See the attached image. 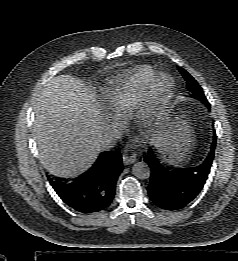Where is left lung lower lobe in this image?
Returning <instances> with one entry per match:
<instances>
[{"label":"left lung lower lobe","mask_w":238,"mask_h":261,"mask_svg":"<svg viewBox=\"0 0 238 261\" xmlns=\"http://www.w3.org/2000/svg\"><path fill=\"white\" fill-rule=\"evenodd\" d=\"M208 108L209 102L206 100ZM217 136L214 132L210 152L205 160L192 168H176L162 163L157 152L149 149L144 161L149 165L148 196L159 208L179 210L189 204L202 190L215 155Z\"/></svg>","instance_id":"left-lung-lower-lobe-1"}]
</instances>
